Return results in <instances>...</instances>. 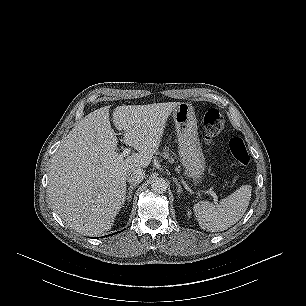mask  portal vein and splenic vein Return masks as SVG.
<instances>
[{"instance_id": "portal-vein-and-splenic-vein-1", "label": "portal vein and splenic vein", "mask_w": 306, "mask_h": 306, "mask_svg": "<svg viewBox=\"0 0 306 306\" xmlns=\"http://www.w3.org/2000/svg\"><path fill=\"white\" fill-rule=\"evenodd\" d=\"M130 151L131 150L129 148H125L124 151L119 155V157L124 158V157L128 156L130 154ZM205 193L211 195L214 199V203H217L218 198H217V195L214 191L209 190V191H206Z\"/></svg>"}]
</instances>
